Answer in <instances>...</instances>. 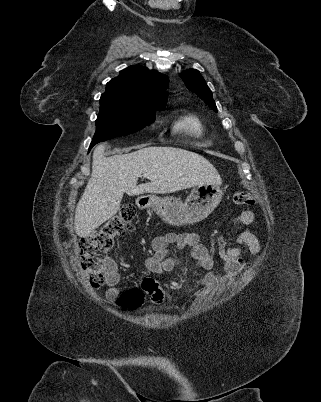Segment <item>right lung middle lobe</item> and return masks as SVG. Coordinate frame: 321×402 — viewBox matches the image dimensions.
<instances>
[{
  "instance_id": "right-lung-middle-lobe-1",
  "label": "right lung middle lobe",
  "mask_w": 321,
  "mask_h": 402,
  "mask_svg": "<svg viewBox=\"0 0 321 402\" xmlns=\"http://www.w3.org/2000/svg\"><path fill=\"white\" fill-rule=\"evenodd\" d=\"M164 106H143L120 100L100 99L96 133L91 146L146 127L155 120V112Z\"/></svg>"
}]
</instances>
